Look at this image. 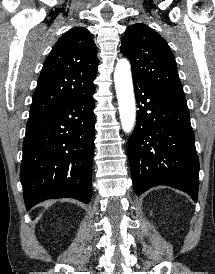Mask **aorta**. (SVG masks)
Returning <instances> with one entry per match:
<instances>
[{
  "label": "aorta",
  "instance_id": "1",
  "mask_svg": "<svg viewBox=\"0 0 215 274\" xmlns=\"http://www.w3.org/2000/svg\"><path fill=\"white\" fill-rule=\"evenodd\" d=\"M114 82L119 104L120 120L124 132L129 133L136 118L135 98L131 77L130 63L126 59L117 62Z\"/></svg>",
  "mask_w": 215,
  "mask_h": 274
}]
</instances>
